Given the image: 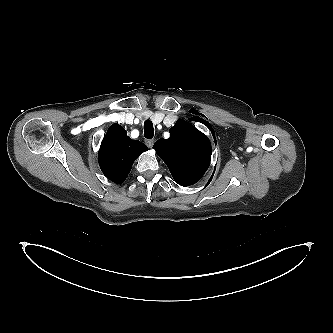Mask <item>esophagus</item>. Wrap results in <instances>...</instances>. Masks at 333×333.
Masks as SVG:
<instances>
[{
	"instance_id": "obj_1",
	"label": "esophagus",
	"mask_w": 333,
	"mask_h": 333,
	"mask_svg": "<svg viewBox=\"0 0 333 333\" xmlns=\"http://www.w3.org/2000/svg\"><path fill=\"white\" fill-rule=\"evenodd\" d=\"M153 144H154V139L146 140V145H147L149 148H152Z\"/></svg>"
}]
</instances>
